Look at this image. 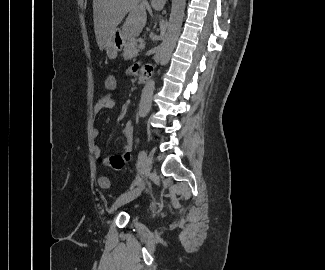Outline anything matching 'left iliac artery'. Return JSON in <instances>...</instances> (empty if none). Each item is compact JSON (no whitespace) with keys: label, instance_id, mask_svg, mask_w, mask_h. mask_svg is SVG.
I'll list each match as a JSON object with an SVG mask.
<instances>
[{"label":"left iliac artery","instance_id":"obj_1","mask_svg":"<svg viewBox=\"0 0 325 270\" xmlns=\"http://www.w3.org/2000/svg\"><path fill=\"white\" fill-rule=\"evenodd\" d=\"M146 158V152L145 151H140L138 155V163L139 165H142L144 163V160Z\"/></svg>","mask_w":325,"mask_h":270}]
</instances>
